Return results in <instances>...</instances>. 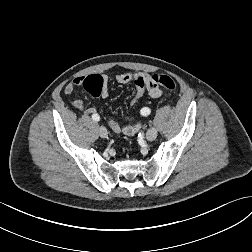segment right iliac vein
<instances>
[{
  "instance_id": "63e3f726",
  "label": "right iliac vein",
  "mask_w": 252,
  "mask_h": 252,
  "mask_svg": "<svg viewBox=\"0 0 252 252\" xmlns=\"http://www.w3.org/2000/svg\"><path fill=\"white\" fill-rule=\"evenodd\" d=\"M99 134L102 138H107L108 136V131L105 127H100L99 129Z\"/></svg>"
}]
</instances>
